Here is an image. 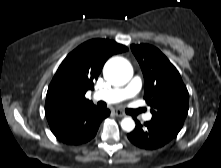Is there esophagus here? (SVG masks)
<instances>
[{
	"label": "esophagus",
	"instance_id": "34e87169",
	"mask_svg": "<svg viewBox=\"0 0 221 168\" xmlns=\"http://www.w3.org/2000/svg\"><path fill=\"white\" fill-rule=\"evenodd\" d=\"M114 114L118 117H124L125 116V113H123L121 110H114Z\"/></svg>",
	"mask_w": 221,
	"mask_h": 168
}]
</instances>
